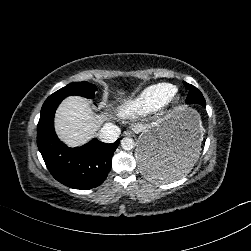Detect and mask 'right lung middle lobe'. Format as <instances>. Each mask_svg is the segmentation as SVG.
Wrapping results in <instances>:
<instances>
[{"mask_svg":"<svg viewBox=\"0 0 251 251\" xmlns=\"http://www.w3.org/2000/svg\"><path fill=\"white\" fill-rule=\"evenodd\" d=\"M97 87L89 82H73L53 93L49 98H65L71 95H79L88 99L95 97Z\"/></svg>","mask_w":251,"mask_h":251,"instance_id":"dd1d6c3e","label":"right lung middle lobe"}]
</instances>
